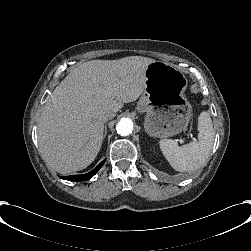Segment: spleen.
Masks as SVG:
<instances>
[{"mask_svg":"<svg viewBox=\"0 0 251 251\" xmlns=\"http://www.w3.org/2000/svg\"><path fill=\"white\" fill-rule=\"evenodd\" d=\"M198 141L178 146L172 139L160 140V149L170 165L179 172H193L206 162L214 142L211 116L203 111L198 117Z\"/></svg>","mask_w":251,"mask_h":251,"instance_id":"1","label":"spleen"}]
</instances>
